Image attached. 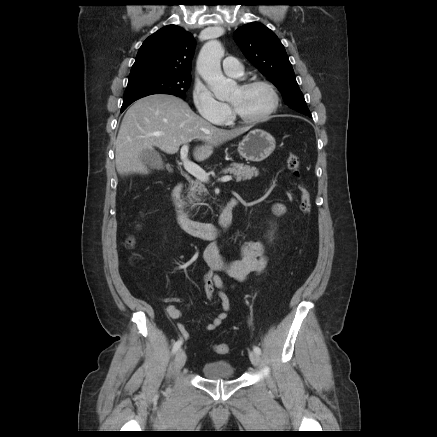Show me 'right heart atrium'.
Wrapping results in <instances>:
<instances>
[{
    "mask_svg": "<svg viewBox=\"0 0 437 437\" xmlns=\"http://www.w3.org/2000/svg\"><path fill=\"white\" fill-rule=\"evenodd\" d=\"M193 104L198 114L212 123H222L229 116L228 105L217 99L208 87L197 82L192 91Z\"/></svg>",
    "mask_w": 437,
    "mask_h": 437,
    "instance_id": "obj_1",
    "label": "right heart atrium"
}]
</instances>
